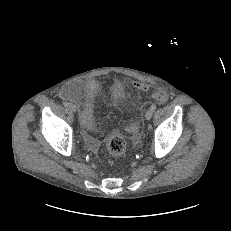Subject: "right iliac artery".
<instances>
[{
  "mask_svg": "<svg viewBox=\"0 0 231 231\" xmlns=\"http://www.w3.org/2000/svg\"><path fill=\"white\" fill-rule=\"evenodd\" d=\"M63 105H64L65 107H68L69 103H68V102H64Z\"/></svg>",
  "mask_w": 231,
  "mask_h": 231,
  "instance_id": "right-iliac-artery-1",
  "label": "right iliac artery"
}]
</instances>
